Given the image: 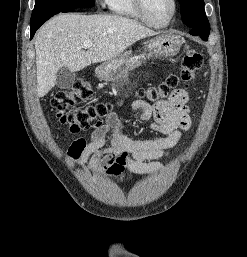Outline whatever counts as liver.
<instances>
[{
    "label": "liver",
    "instance_id": "obj_1",
    "mask_svg": "<svg viewBox=\"0 0 247 257\" xmlns=\"http://www.w3.org/2000/svg\"><path fill=\"white\" fill-rule=\"evenodd\" d=\"M157 33L138 22L116 15L60 14L35 36L38 97L56 84L61 67L80 71L92 63L109 61L135 42ZM93 42L89 50L82 45Z\"/></svg>",
    "mask_w": 247,
    "mask_h": 257
}]
</instances>
